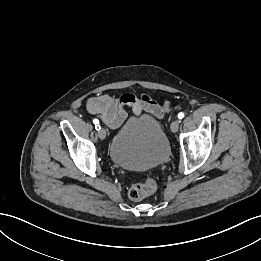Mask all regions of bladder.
<instances>
[{"instance_id": "1", "label": "bladder", "mask_w": 261, "mask_h": 261, "mask_svg": "<svg viewBox=\"0 0 261 261\" xmlns=\"http://www.w3.org/2000/svg\"><path fill=\"white\" fill-rule=\"evenodd\" d=\"M170 143L161 124L151 116L129 119L115 134L109 157L118 167L147 170L168 159Z\"/></svg>"}]
</instances>
